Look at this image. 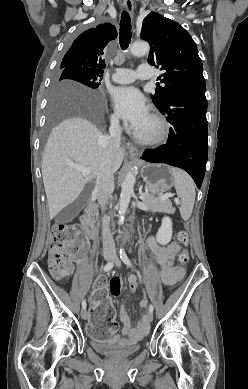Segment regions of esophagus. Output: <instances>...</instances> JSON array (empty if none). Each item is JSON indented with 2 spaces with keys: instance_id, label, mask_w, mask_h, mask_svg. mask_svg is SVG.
I'll return each instance as SVG.
<instances>
[{
  "instance_id": "34e87169",
  "label": "esophagus",
  "mask_w": 248,
  "mask_h": 389,
  "mask_svg": "<svg viewBox=\"0 0 248 389\" xmlns=\"http://www.w3.org/2000/svg\"><path fill=\"white\" fill-rule=\"evenodd\" d=\"M124 6H125V9L127 10V12L129 14H133V1L132 0H124ZM128 150H129V153H130V156L132 159H137L138 155H139V150L137 147H135L134 145L132 144H128Z\"/></svg>"
}]
</instances>
